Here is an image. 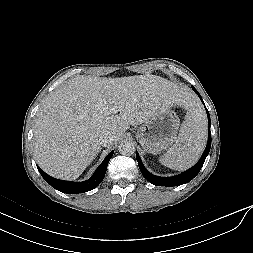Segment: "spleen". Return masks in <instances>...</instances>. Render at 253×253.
<instances>
[{
	"label": "spleen",
	"mask_w": 253,
	"mask_h": 253,
	"mask_svg": "<svg viewBox=\"0 0 253 253\" xmlns=\"http://www.w3.org/2000/svg\"><path fill=\"white\" fill-rule=\"evenodd\" d=\"M207 121L203 111L190 104L185 121L181 124L175 144L159 158V162L174 170H185L194 165L201 156L206 142Z\"/></svg>",
	"instance_id": "obj_1"
}]
</instances>
